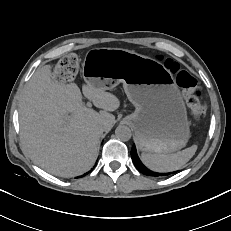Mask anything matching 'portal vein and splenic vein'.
<instances>
[{
    "label": "portal vein and splenic vein",
    "instance_id": "portal-vein-and-splenic-vein-1",
    "mask_svg": "<svg viewBox=\"0 0 231 231\" xmlns=\"http://www.w3.org/2000/svg\"><path fill=\"white\" fill-rule=\"evenodd\" d=\"M87 106H88L89 108H91V107H92V104H91L90 102H88V103H87Z\"/></svg>",
    "mask_w": 231,
    "mask_h": 231
}]
</instances>
